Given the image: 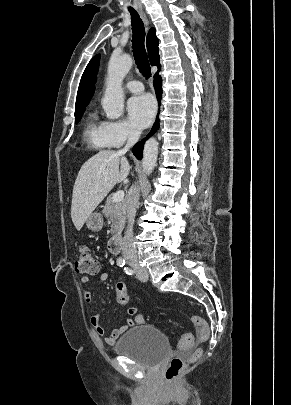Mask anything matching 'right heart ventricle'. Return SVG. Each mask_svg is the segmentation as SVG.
Returning <instances> with one entry per match:
<instances>
[{"label":"right heart ventricle","instance_id":"obj_1","mask_svg":"<svg viewBox=\"0 0 291 405\" xmlns=\"http://www.w3.org/2000/svg\"><path fill=\"white\" fill-rule=\"evenodd\" d=\"M84 136L87 142L95 148L106 149L110 147L104 135L103 122L98 119L94 112L90 113L87 118Z\"/></svg>","mask_w":291,"mask_h":405}]
</instances>
